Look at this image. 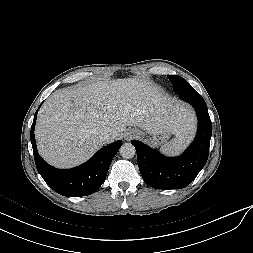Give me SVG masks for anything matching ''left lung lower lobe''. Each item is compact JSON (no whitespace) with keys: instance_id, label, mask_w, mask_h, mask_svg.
Returning <instances> with one entry per match:
<instances>
[{"instance_id":"obj_1","label":"left lung lower lobe","mask_w":253,"mask_h":253,"mask_svg":"<svg viewBox=\"0 0 253 253\" xmlns=\"http://www.w3.org/2000/svg\"><path fill=\"white\" fill-rule=\"evenodd\" d=\"M181 97L194 106L198 116L195 141L181 156L168 158L142 142H131L137 152L142 178L155 189H181L188 186L208 159L212 123L206 103L195 89L182 93Z\"/></svg>"}]
</instances>
